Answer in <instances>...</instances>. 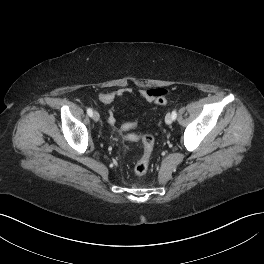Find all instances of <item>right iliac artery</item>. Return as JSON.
<instances>
[{"label": "right iliac artery", "instance_id": "82829eb1", "mask_svg": "<svg viewBox=\"0 0 264 264\" xmlns=\"http://www.w3.org/2000/svg\"><path fill=\"white\" fill-rule=\"evenodd\" d=\"M87 114H88L90 117H92V115H93V111H92L91 108H88V109H87Z\"/></svg>", "mask_w": 264, "mask_h": 264}]
</instances>
